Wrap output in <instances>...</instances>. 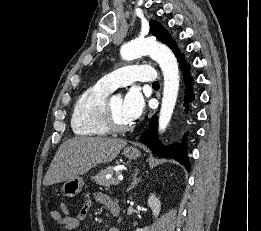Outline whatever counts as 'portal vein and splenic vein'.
Wrapping results in <instances>:
<instances>
[{
    "label": "portal vein and splenic vein",
    "instance_id": "portal-vein-and-splenic-vein-1",
    "mask_svg": "<svg viewBox=\"0 0 261 231\" xmlns=\"http://www.w3.org/2000/svg\"><path fill=\"white\" fill-rule=\"evenodd\" d=\"M106 178H110V176L107 175ZM122 179H123V176L119 175L117 179H112V184L113 185H118Z\"/></svg>",
    "mask_w": 261,
    "mask_h": 231
}]
</instances>
